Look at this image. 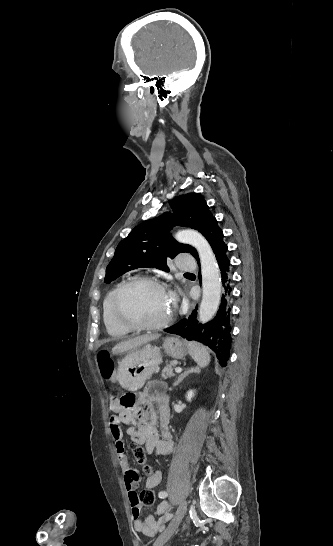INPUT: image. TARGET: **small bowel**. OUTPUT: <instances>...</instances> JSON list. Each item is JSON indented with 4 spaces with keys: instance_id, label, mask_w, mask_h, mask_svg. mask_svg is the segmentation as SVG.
I'll list each match as a JSON object with an SVG mask.
<instances>
[{
    "instance_id": "1",
    "label": "small bowel",
    "mask_w": 333,
    "mask_h": 546,
    "mask_svg": "<svg viewBox=\"0 0 333 546\" xmlns=\"http://www.w3.org/2000/svg\"><path fill=\"white\" fill-rule=\"evenodd\" d=\"M110 374L111 381L118 379V371L113 370ZM165 389L166 386L162 382H150L137 396L138 405L126 407L115 402L111 403L115 414L110 417V432L114 440L118 464L123 472L133 526L136 531L148 536L156 535L170 521L171 506L167 502H161L157 506L156 514L162 515L158 520L152 514L147 515L145 519L140 518L141 506L137 493L140 474L130 464L122 426H126V432L132 442L144 447L147 453L155 452L158 456L170 454L174 443L168 428L169 399ZM153 404L158 406L157 411L153 408ZM160 480L161 474L156 471L147 478L146 486L154 488ZM162 494L161 492L160 496Z\"/></svg>"
}]
</instances>
